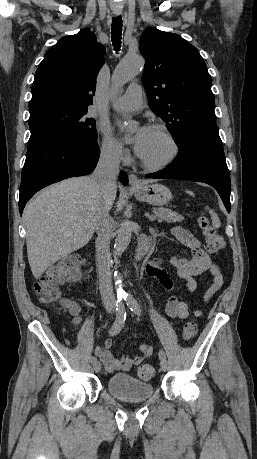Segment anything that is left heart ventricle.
<instances>
[{"instance_id": "1", "label": "left heart ventricle", "mask_w": 257, "mask_h": 459, "mask_svg": "<svg viewBox=\"0 0 257 459\" xmlns=\"http://www.w3.org/2000/svg\"><path fill=\"white\" fill-rule=\"evenodd\" d=\"M171 151V145L166 137L158 130L151 128L140 156L148 162L159 163L164 161Z\"/></svg>"}]
</instances>
